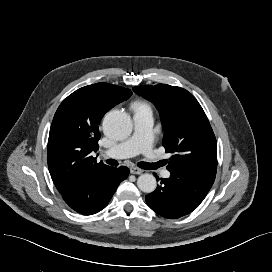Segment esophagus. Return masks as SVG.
Instances as JSON below:
<instances>
[{"mask_svg":"<svg viewBox=\"0 0 272 272\" xmlns=\"http://www.w3.org/2000/svg\"><path fill=\"white\" fill-rule=\"evenodd\" d=\"M130 173H131V174L139 175V174H142V173H143V170L140 169V168H137V167H131V168H130Z\"/></svg>","mask_w":272,"mask_h":272,"instance_id":"esophagus-1","label":"esophagus"}]
</instances>
